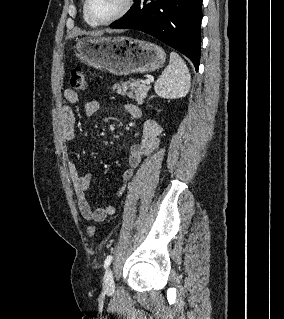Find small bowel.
I'll use <instances>...</instances> for the list:
<instances>
[{
  "label": "small bowel",
  "instance_id": "1",
  "mask_svg": "<svg viewBox=\"0 0 284 319\" xmlns=\"http://www.w3.org/2000/svg\"><path fill=\"white\" fill-rule=\"evenodd\" d=\"M79 96L75 90L66 89L63 95V102L60 109V124L63 138L70 143L75 140V114L73 105L78 102ZM85 113L92 116L99 111L100 105L97 101L85 103ZM125 109L135 120L142 117L141 110L133 105L126 104ZM162 133L161 126L154 120H146L142 126V138L139 143L132 144L128 149L127 167L122 174L124 185L119 190L121 195L126 184L132 179L135 169L141 164L144 157L151 155L159 146V137ZM70 176L73 182L75 198L80 214L85 220L102 222L108 216L114 214L115 207L106 204L103 207H92L86 193L90 188L92 174H80L76 165L71 163L69 166Z\"/></svg>",
  "mask_w": 284,
  "mask_h": 319
}]
</instances>
